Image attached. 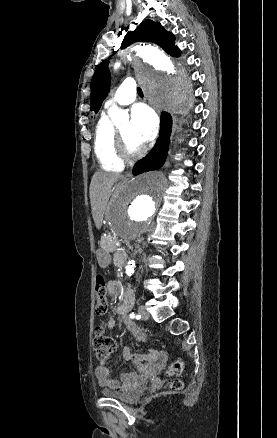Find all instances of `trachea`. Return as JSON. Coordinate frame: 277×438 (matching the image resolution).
Segmentation results:
<instances>
[{
  "instance_id": "1",
  "label": "trachea",
  "mask_w": 277,
  "mask_h": 438,
  "mask_svg": "<svg viewBox=\"0 0 277 438\" xmlns=\"http://www.w3.org/2000/svg\"><path fill=\"white\" fill-rule=\"evenodd\" d=\"M137 92H138V94H139L140 96H143V92H142V90H141L140 87L137 88Z\"/></svg>"
}]
</instances>
